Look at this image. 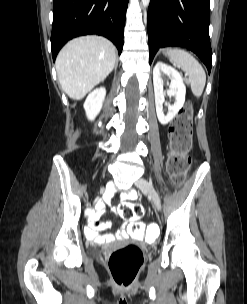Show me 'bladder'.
<instances>
[{
  "instance_id": "bladder-1",
  "label": "bladder",
  "mask_w": 247,
  "mask_h": 304,
  "mask_svg": "<svg viewBox=\"0 0 247 304\" xmlns=\"http://www.w3.org/2000/svg\"><path fill=\"white\" fill-rule=\"evenodd\" d=\"M91 253H92V254H94V255H96V254H97V252H96V251H94V250H93V251H91Z\"/></svg>"
}]
</instances>
